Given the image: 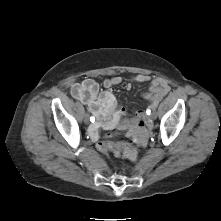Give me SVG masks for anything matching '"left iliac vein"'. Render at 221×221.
Segmentation results:
<instances>
[{"label": "left iliac vein", "mask_w": 221, "mask_h": 221, "mask_svg": "<svg viewBox=\"0 0 221 221\" xmlns=\"http://www.w3.org/2000/svg\"><path fill=\"white\" fill-rule=\"evenodd\" d=\"M156 117H157L156 112L153 111V113L151 114V118H152V119H156Z\"/></svg>", "instance_id": "left-iliac-vein-1"}]
</instances>
